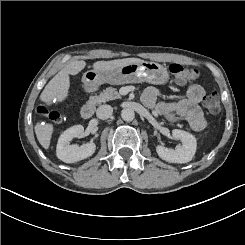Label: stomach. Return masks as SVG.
<instances>
[{
  "mask_svg": "<svg viewBox=\"0 0 245 245\" xmlns=\"http://www.w3.org/2000/svg\"><path fill=\"white\" fill-rule=\"evenodd\" d=\"M170 81L168 68L156 62L131 64L110 71H88L82 77L83 88L95 91L103 83L114 85L147 82L152 85H166Z\"/></svg>",
  "mask_w": 245,
  "mask_h": 245,
  "instance_id": "obj_1",
  "label": "stomach"
}]
</instances>
